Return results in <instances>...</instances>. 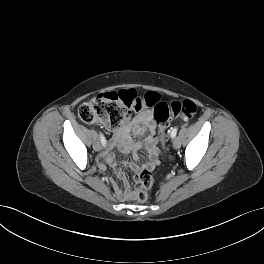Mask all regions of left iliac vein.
<instances>
[{"label": "left iliac vein", "instance_id": "left-iliac-vein-1", "mask_svg": "<svg viewBox=\"0 0 264 264\" xmlns=\"http://www.w3.org/2000/svg\"><path fill=\"white\" fill-rule=\"evenodd\" d=\"M173 146H174L175 149L180 148L181 142H180V139L178 137L173 139Z\"/></svg>", "mask_w": 264, "mask_h": 264}]
</instances>
